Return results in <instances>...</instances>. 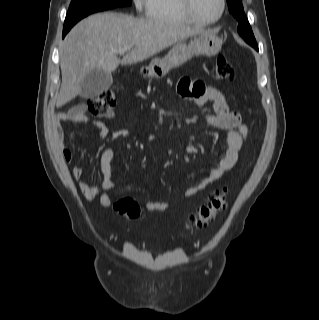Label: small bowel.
I'll list each match as a JSON object with an SVG mask.
<instances>
[{
  "mask_svg": "<svg viewBox=\"0 0 319 320\" xmlns=\"http://www.w3.org/2000/svg\"><path fill=\"white\" fill-rule=\"evenodd\" d=\"M178 93L182 98L194 101L200 109H202L205 104L209 102L212 103L214 113L203 112V120L209 126L227 131L226 149L223 156L218 164L211 168L206 177L186 190L185 196L190 197L206 189L210 184L219 180L224 173L234 167L238 160L240 150L248 137L249 127L242 121L238 112L229 109L224 95L217 88L206 85L201 80H192L187 77L181 78L178 83ZM62 122H82L92 125L96 128L97 136L101 139L108 137L110 134V130L104 122L88 118L85 115L83 106H77L69 112L57 115L55 124L59 137H61L59 125ZM148 138L152 143H157L159 140L155 133H150ZM114 156L115 153L111 148H106L101 153L100 171L103 180L99 187L92 186L82 180L84 170L81 166H74L72 168V175L75 180L79 181L81 193L88 199L98 198L104 207H110L113 204V198L107 191L115 187L112 173ZM62 157L67 163H70L72 160V152L67 148H63ZM174 204V201H151L146 204V209L149 211L162 212L171 209Z\"/></svg>",
  "mask_w": 319,
  "mask_h": 320,
  "instance_id": "small-bowel-1",
  "label": "small bowel"
}]
</instances>
